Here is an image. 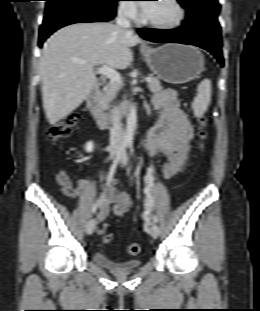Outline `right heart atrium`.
I'll use <instances>...</instances> for the list:
<instances>
[{
    "label": "right heart atrium",
    "instance_id": "1",
    "mask_svg": "<svg viewBox=\"0 0 260 311\" xmlns=\"http://www.w3.org/2000/svg\"><path fill=\"white\" fill-rule=\"evenodd\" d=\"M130 1L122 0L119 4V13L128 20H137L139 18V11L135 4L129 3Z\"/></svg>",
    "mask_w": 260,
    "mask_h": 311
}]
</instances>
